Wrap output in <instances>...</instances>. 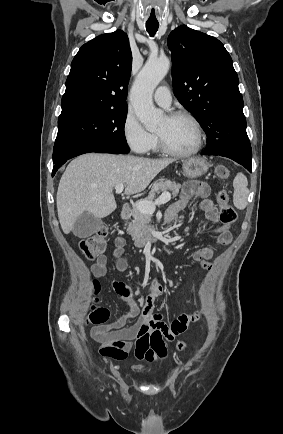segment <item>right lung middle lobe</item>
Listing matches in <instances>:
<instances>
[{
  "label": "right lung middle lobe",
  "mask_w": 283,
  "mask_h": 434,
  "mask_svg": "<svg viewBox=\"0 0 283 434\" xmlns=\"http://www.w3.org/2000/svg\"><path fill=\"white\" fill-rule=\"evenodd\" d=\"M127 108L59 116L53 163L90 147H106L129 153L124 134Z\"/></svg>",
  "instance_id": "dd1d6c3e"
}]
</instances>
